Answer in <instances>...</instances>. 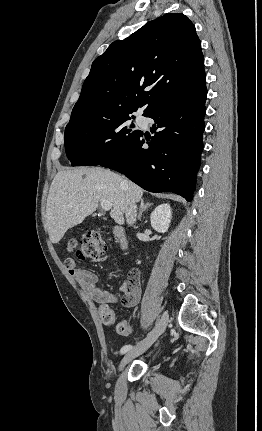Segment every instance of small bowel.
Returning <instances> with one entry per match:
<instances>
[{"instance_id": "obj_1", "label": "small bowel", "mask_w": 262, "mask_h": 431, "mask_svg": "<svg viewBox=\"0 0 262 431\" xmlns=\"http://www.w3.org/2000/svg\"><path fill=\"white\" fill-rule=\"evenodd\" d=\"M64 265L68 272L78 281L85 295L99 304L100 314L112 316L115 320V313L111 305L117 301V298L99 286L97 275L88 269L77 267L75 260L72 258H67ZM120 290L124 295L123 302L127 306H134L139 302L141 285L136 277L126 279ZM128 326L130 327L129 324Z\"/></svg>"}]
</instances>
